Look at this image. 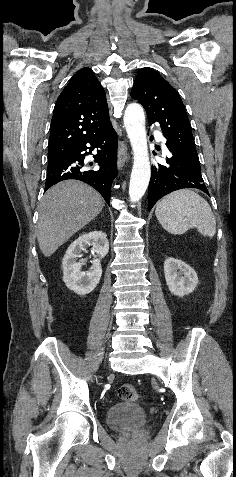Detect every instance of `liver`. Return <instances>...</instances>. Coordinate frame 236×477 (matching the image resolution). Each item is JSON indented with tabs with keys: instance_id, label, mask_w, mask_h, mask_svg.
Segmentation results:
<instances>
[{
	"instance_id": "1",
	"label": "liver",
	"mask_w": 236,
	"mask_h": 477,
	"mask_svg": "<svg viewBox=\"0 0 236 477\" xmlns=\"http://www.w3.org/2000/svg\"><path fill=\"white\" fill-rule=\"evenodd\" d=\"M101 195L76 180L51 187L39 204L37 240L44 256H51L103 209Z\"/></svg>"
}]
</instances>
